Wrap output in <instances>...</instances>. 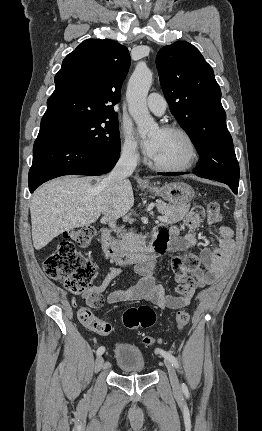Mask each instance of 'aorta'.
<instances>
[{"label":"aorta","mask_w":262,"mask_h":431,"mask_svg":"<svg viewBox=\"0 0 262 431\" xmlns=\"http://www.w3.org/2000/svg\"><path fill=\"white\" fill-rule=\"evenodd\" d=\"M152 80L151 70L146 66L138 65L129 79L126 92L129 113L137 124L138 132L142 137L157 128L146 104Z\"/></svg>","instance_id":"obj_1"}]
</instances>
